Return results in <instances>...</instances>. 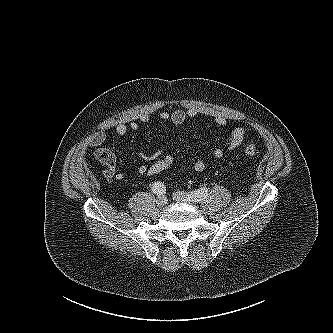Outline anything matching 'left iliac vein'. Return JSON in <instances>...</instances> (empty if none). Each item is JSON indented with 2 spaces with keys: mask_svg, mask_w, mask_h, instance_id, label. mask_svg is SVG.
<instances>
[{
  "mask_svg": "<svg viewBox=\"0 0 333 333\" xmlns=\"http://www.w3.org/2000/svg\"><path fill=\"white\" fill-rule=\"evenodd\" d=\"M173 198L178 202L191 203L194 202L190 194L182 191H177L173 194Z\"/></svg>",
  "mask_w": 333,
  "mask_h": 333,
  "instance_id": "obj_1",
  "label": "left iliac vein"
}]
</instances>
